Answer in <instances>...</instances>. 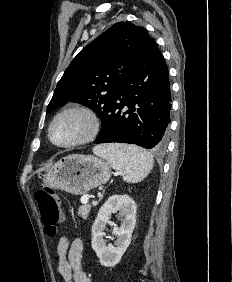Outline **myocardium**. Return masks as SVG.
Here are the masks:
<instances>
[{
  "label": "myocardium",
  "mask_w": 232,
  "mask_h": 282,
  "mask_svg": "<svg viewBox=\"0 0 232 282\" xmlns=\"http://www.w3.org/2000/svg\"><path fill=\"white\" fill-rule=\"evenodd\" d=\"M71 114H78L85 117L88 121V129L83 136L73 141L58 143L52 137V129L58 120ZM100 128V119L93 109L84 105H73L62 109L52 118L47 128V136L51 144L54 146L58 148L69 149L79 147L93 141L98 136Z\"/></svg>",
  "instance_id": "f54148a6"
}]
</instances>
